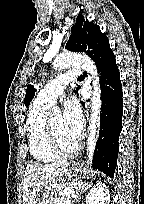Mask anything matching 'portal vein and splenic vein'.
I'll return each mask as SVG.
<instances>
[{
  "mask_svg": "<svg viewBox=\"0 0 144 204\" xmlns=\"http://www.w3.org/2000/svg\"><path fill=\"white\" fill-rule=\"evenodd\" d=\"M61 194L62 196H70V195L74 196L75 191L73 189L65 188Z\"/></svg>",
  "mask_w": 144,
  "mask_h": 204,
  "instance_id": "portal-vein-and-splenic-vein-1",
  "label": "portal vein and splenic vein"
}]
</instances>
